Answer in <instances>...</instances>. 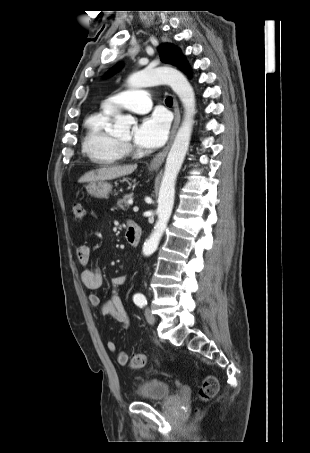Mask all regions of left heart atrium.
I'll list each match as a JSON object with an SVG mask.
<instances>
[{"instance_id": "obj_1", "label": "left heart atrium", "mask_w": 310, "mask_h": 453, "mask_svg": "<svg viewBox=\"0 0 310 453\" xmlns=\"http://www.w3.org/2000/svg\"><path fill=\"white\" fill-rule=\"evenodd\" d=\"M168 132L169 120L167 116L162 113H155L143 118L135 127L133 140L138 147L153 150L165 142Z\"/></svg>"}]
</instances>
